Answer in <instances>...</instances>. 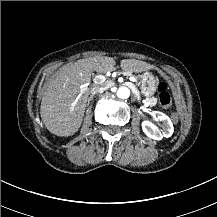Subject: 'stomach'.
<instances>
[{
	"mask_svg": "<svg viewBox=\"0 0 217 217\" xmlns=\"http://www.w3.org/2000/svg\"><path fill=\"white\" fill-rule=\"evenodd\" d=\"M159 82L151 72H145L141 75L139 87L141 94L145 97L154 95L158 88Z\"/></svg>",
	"mask_w": 217,
	"mask_h": 217,
	"instance_id": "stomach-1",
	"label": "stomach"
}]
</instances>
